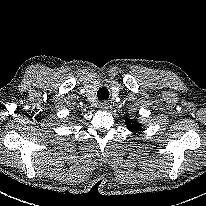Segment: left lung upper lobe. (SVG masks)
<instances>
[{
	"mask_svg": "<svg viewBox=\"0 0 206 206\" xmlns=\"http://www.w3.org/2000/svg\"><path fill=\"white\" fill-rule=\"evenodd\" d=\"M126 124H127V128L130 130V131H138L141 127V124L136 122V121H132L130 122L129 119L126 120Z\"/></svg>",
	"mask_w": 206,
	"mask_h": 206,
	"instance_id": "obj_1",
	"label": "left lung upper lobe"
}]
</instances>
